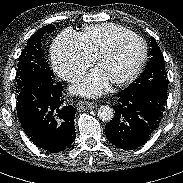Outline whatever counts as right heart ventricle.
Returning <instances> with one entry per match:
<instances>
[{"label": "right heart ventricle", "mask_w": 183, "mask_h": 183, "mask_svg": "<svg viewBox=\"0 0 183 183\" xmlns=\"http://www.w3.org/2000/svg\"><path fill=\"white\" fill-rule=\"evenodd\" d=\"M134 35V33L117 24H100L90 26L80 33L86 52L94 59L117 39Z\"/></svg>", "instance_id": "obj_1"}]
</instances>
